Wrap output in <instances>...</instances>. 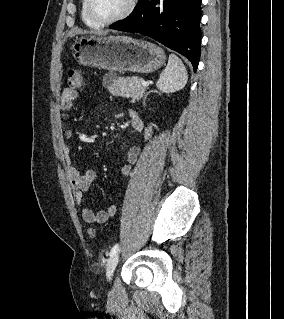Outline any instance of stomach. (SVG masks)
I'll list each match as a JSON object with an SVG mask.
<instances>
[{"label":"stomach","mask_w":284,"mask_h":319,"mask_svg":"<svg viewBox=\"0 0 284 319\" xmlns=\"http://www.w3.org/2000/svg\"><path fill=\"white\" fill-rule=\"evenodd\" d=\"M72 54L82 65L119 72L152 73L166 60L162 48L130 37L82 36Z\"/></svg>","instance_id":"stomach-1"}]
</instances>
